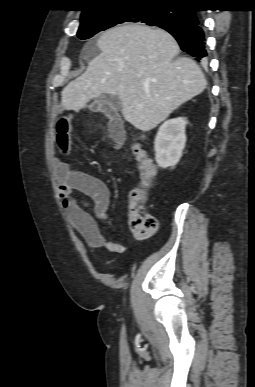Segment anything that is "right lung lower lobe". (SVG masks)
<instances>
[{
  "instance_id": "obj_1",
  "label": "right lung lower lobe",
  "mask_w": 255,
  "mask_h": 387,
  "mask_svg": "<svg viewBox=\"0 0 255 387\" xmlns=\"http://www.w3.org/2000/svg\"><path fill=\"white\" fill-rule=\"evenodd\" d=\"M180 11L185 23L163 25L160 28L172 34L184 52L203 62L206 60L207 51L200 13L188 7L181 8Z\"/></svg>"
}]
</instances>
